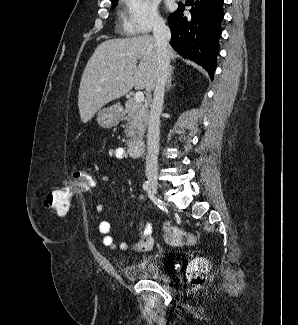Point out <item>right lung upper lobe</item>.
I'll return each mask as SVG.
<instances>
[{
  "instance_id": "right-lung-upper-lobe-1",
  "label": "right lung upper lobe",
  "mask_w": 298,
  "mask_h": 325,
  "mask_svg": "<svg viewBox=\"0 0 298 325\" xmlns=\"http://www.w3.org/2000/svg\"><path fill=\"white\" fill-rule=\"evenodd\" d=\"M114 2H118V0H112V3H114Z\"/></svg>"
}]
</instances>
